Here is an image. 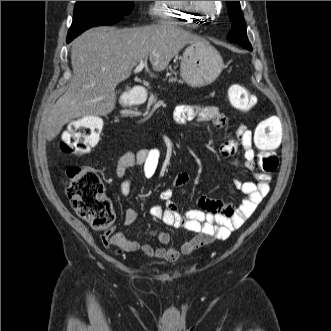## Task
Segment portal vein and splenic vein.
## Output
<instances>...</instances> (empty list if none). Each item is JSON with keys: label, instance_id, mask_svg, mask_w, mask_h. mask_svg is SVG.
Returning a JSON list of instances; mask_svg holds the SVG:
<instances>
[{"label": "portal vein and splenic vein", "instance_id": "portal-vein-and-splenic-vein-1", "mask_svg": "<svg viewBox=\"0 0 331 331\" xmlns=\"http://www.w3.org/2000/svg\"><path fill=\"white\" fill-rule=\"evenodd\" d=\"M145 66V60H141L139 65L135 68L134 73L140 72Z\"/></svg>", "mask_w": 331, "mask_h": 331}]
</instances>
